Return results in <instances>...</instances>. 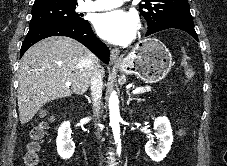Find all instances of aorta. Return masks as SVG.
<instances>
[{
  "instance_id": "1",
  "label": "aorta",
  "mask_w": 227,
  "mask_h": 166,
  "mask_svg": "<svg viewBox=\"0 0 227 166\" xmlns=\"http://www.w3.org/2000/svg\"><path fill=\"white\" fill-rule=\"evenodd\" d=\"M109 114H110V125L113 130L115 143L117 144V153H121V139H120V126L119 122L121 120L119 112V100L116 92H112L109 97Z\"/></svg>"
}]
</instances>
